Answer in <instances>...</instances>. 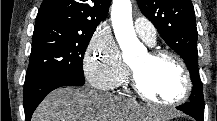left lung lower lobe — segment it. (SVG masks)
Returning <instances> with one entry per match:
<instances>
[{
  "label": "left lung lower lobe",
  "mask_w": 217,
  "mask_h": 121,
  "mask_svg": "<svg viewBox=\"0 0 217 121\" xmlns=\"http://www.w3.org/2000/svg\"><path fill=\"white\" fill-rule=\"evenodd\" d=\"M177 109H179L180 111H183L184 113L192 116L193 118H195L197 121H203L202 117H199L194 109V107L192 106V104L186 103L184 105H181L179 107H177Z\"/></svg>",
  "instance_id": "obj_1"
}]
</instances>
